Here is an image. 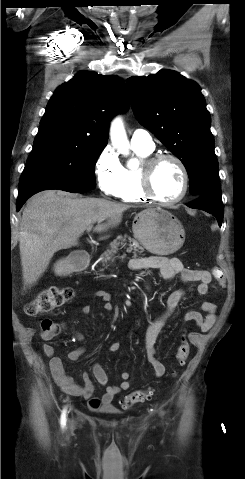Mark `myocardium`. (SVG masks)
<instances>
[{"label": "myocardium", "instance_id": "1", "mask_svg": "<svg viewBox=\"0 0 245 479\" xmlns=\"http://www.w3.org/2000/svg\"><path fill=\"white\" fill-rule=\"evenodd\" d=\"M172 161L179 167L182 177L183 185L181 193L178 197L172 200H163L160 198L153 187V176L158 165L163 161ZM189 173L184 162L176 155L170 153H158L146 158L140 168V187L143 194L151 201L162 205L171 206L181 202L189 190Z\"/></svg>", "mask_w": 245, "mask_h": 479}]
</instances>
